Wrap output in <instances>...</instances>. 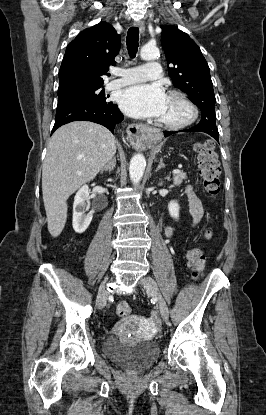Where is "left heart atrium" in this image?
<instances>
[{
    "mask_svg": "<svg viewBox=\"0 0 266 415\" xmlns=\"http://www.w3.org/2000/svg\"><path fill=\"white\" fill-rule=\"evenodd\" d=\"M167 103L163 88L157 84H139L125 89L120 97L122 111L133 118H159Z\"/></svg>",
    "mask_w": 266,
    "mask_h": 415,
    "instance_id": "obj_1",
    "label": "left heart atrium"
}]
</instances>
